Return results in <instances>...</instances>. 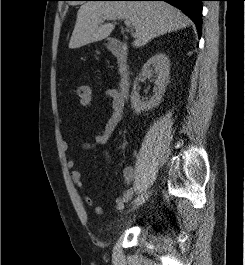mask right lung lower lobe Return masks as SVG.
I'll list each match as a JSON object with an SVG mask.
<instances>
[{"instance_id": "right-lung-lower-lobe-1", "label": "right lung lower lobe", "mask_w": 245, "mask_h": 265, "mask_svg": "<svg viewBox=\"0 0 245 265\" xmlns=\"http://www.w3.org/2000/svg\"><path fill=\"white\" fill-rule=\"evenodd\" d=\"M117 1H166L184 11L195 23L198 35L201 36L202 1L204 0H117Z\"/></svg>"}]
</instances>
